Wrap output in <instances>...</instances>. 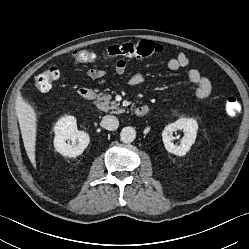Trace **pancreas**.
I'll use <instances>...</instances> for the list:
<instances>
[{
  "label": "pancreas",
  "instance_id": "pancreas-1",
  "mask_svg": "<svg viewBox=\"0 0 249 249\" xmlns=\"http://www.w3.org/2000/svg\"><path fill=\"white\" fill-rule=\"evenodd\" d=\"M96 106L105 112L110 111L114 114H119L123 112V109L119 107V104L115 101H111V95H106L100 93L97 95Z\"/></svg>",
  "mask_w": 249,
  "mask_h": 249
}]
</instances>
